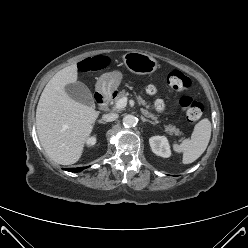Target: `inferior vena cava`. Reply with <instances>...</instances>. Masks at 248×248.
I'll list each match as a JSON object with an SVG mask.
<instances>
[{
  "instance_id": "1",
  "label": "inferior vena cava",
  "mask_w": 248,
  "mask_h": 248,
  "mask_svg": "<svg viewBox=\"0 0 248 248\" xmlns=\"http://www.w3.org/2000/svg\"><path fill=\"white\" fill-rule=\"evenodd\" d=\"M118 118V114L116 113H109V114H104L102 117V120L105 122H112Z\"/></svg>"
}]
</instances>
